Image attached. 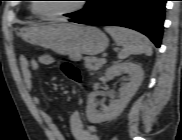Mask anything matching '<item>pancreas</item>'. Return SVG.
<instances>
[{
    "label": "pancreas",
    "instance_id": "1",
    "mask_svg": "<svg viewBox=\"0 0 182 140\" xmlns=\"http://www.w3.org/2000/svg\"><path fill=\"white\" fill-rule=\"evenodd\" d=\"M84 60L85 67L90 71H97L104 64V62H102L101 59H98L96 57H86Z\"/></svg>",
    "mask_w": 182,
    "mask_h": 140
}]
</instances>
